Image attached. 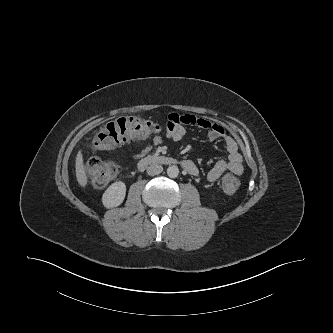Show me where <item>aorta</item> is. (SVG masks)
Returning <instances> with one entry per match:
<instances>
[{"instance_id":"1","label":"aorta","mask_w":333,"mask_h":333,"mask_svg":"<svg viewBox=\"0 0 333 333\" xmlns=\"http://www.w3.org/2000/svg\"><path fill=\"white\" fill-rule=\"evenodd\" d=\"M179 174V169L177 166L175 165H172V166H169L168 169H167V175L170 177V178H176Z\"/></svg>"}]
</instances>
